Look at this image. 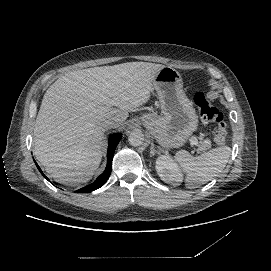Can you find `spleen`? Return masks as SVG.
<instances>
[{"mask_svg":"<svg viewBox=\"0 0 271 271\" xmlns=\"http://www.w3.org/2000/svg\"><path fill=\"white\" fill-rule=\"evenodd\" d=\"M230 155L231 148L224 145L197 156L186 150H179L173 160L184 174L185 185L192 189L194 186L206 184L221 173Z\"/></svg>","mask_w":271,"mask_h":271,"instance_id":"spleen-1","label":"spleen"}]
</instances>
